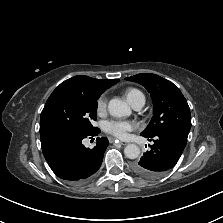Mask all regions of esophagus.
I'll list each match as a JSON object with an SVG mask.
<instances>
[{
  "mask_svg": "<svg viewBox=\"0 0 223 223\" xmlns=\"http://www.w3.org/2000/svg\"><path fill=\"white\" fill-rule=\"evenodd\" d=\"M109 141L111 142V143H113V142H119L121 145H126L127 144V142H124V141H119V140H115L114 138H110L109 139Z\"/></svg>",
  "mask_w": 223,
  "mask_h": 223,
  "instance_id": "34e87169",
  "label": "esophagus"
}]
</instances>
